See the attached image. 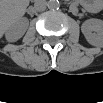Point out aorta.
<instances>
[{"label":"aorta","instance_id":"762f6f07","mask_svg":"<svg viewBox=\"0 0 103 103\" xmlns=\"http://www.w3.org/2000/svg\"><path fill=\"white\" fill-rule=\"evenodd\" d=\"M47 6L49 9L55 10L60 7V2L58 0H49Z\"/></svg>","mask_w":103,"mask_h":103}]
</instances>
